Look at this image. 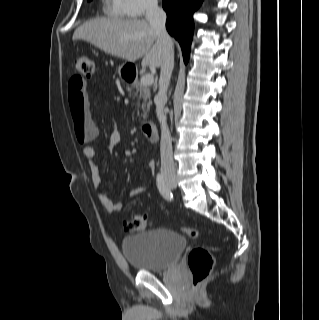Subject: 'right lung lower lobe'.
Instances as JSON below:
<instances>
[{"label": "right lung lower lobe", "mask_w": 319, "mask_h": 320, "mask_svg": "<svg viewBox=\"0 0 319 320\" xmlns=\"http://www.w3.org/2000/svg\"><path fill=\"white\" fill-rule=\"evenodd\" d=\"M203 0H163L167 13L166 28L182 48L184 62L187 63L194 30L193 13Z\"/></svg>", "instance_id": "1"}]
</instances>
